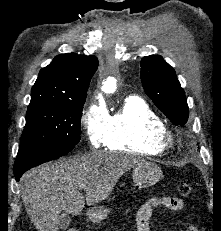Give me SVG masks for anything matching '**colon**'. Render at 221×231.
Listing matches in <instances>:
<instances>
[{
    "label": "colon",
    "mask_w": 221,
    "mask_h": 231,
    "mask_svg": "<svg viewBox=\"0 0 221 231\" xmlns=\"http://www.w3.org/2000/svg\"><path fill=\"white\" fill-rule=\"evenodd\" d=\"M177 190L183 196H188L192 192V187L189 183L184 181L177 182ZM69 231H76V230H69Z\"/></svg>",
    "instance_id": "obj_1"
}]
</instances>
